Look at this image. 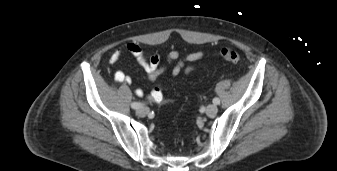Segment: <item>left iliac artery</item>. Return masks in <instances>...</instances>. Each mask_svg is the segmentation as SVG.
Segmentation results:
<instances>
[{
  "instance_id": "left-iliac-artery-1",
  "label": "left iliac artery",
  "mask_w": 337,
  "mask_h": 171,
  "mask_svg": "<svg viewBox=\"0 0 337 171\" xmlns=\"http://www.w3.org/2000/svg\"><path fill=\"white\" fill-rule=\"evenodd\" d=\"M213 103H214L215 105H219V104H220V99H219V98H214V99H213Z\"/></svg>"
}]
</instances>
